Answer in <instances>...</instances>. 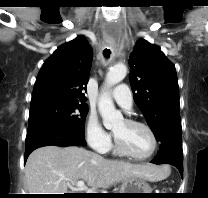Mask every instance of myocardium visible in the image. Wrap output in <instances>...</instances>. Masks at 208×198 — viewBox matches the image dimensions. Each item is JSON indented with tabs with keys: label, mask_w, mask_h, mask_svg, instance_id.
<instances>
[{
	"label": "myocardium",
	"mask_w": 208,
	"mask_h": 198,
	"mask_svg": "<svg viewBox=\"0 0 208 198\" xmlns=\"http://www.w3.org/2000/svg\"><path fill=\"white\" fill-rule=\"evenodd\" d=\"M125 122L127 124L141 126L144 129H146L148 131V133L150 134L151 139H152V149L145 156L135 155L126 147V145L121 140H119L114 135V142H115V146H116L117 150L119 152H121L123 155H125L127 157H130L134 160L144 161V160L150 159L156 153L157 148H158V138H157V135H156L155 131L152 129V127L150 125H148L147 123H145L143 121L137 120V119L126 118Z\"/></svg>",
	"instance_id": "myocardium-1"
}]
</instances>
